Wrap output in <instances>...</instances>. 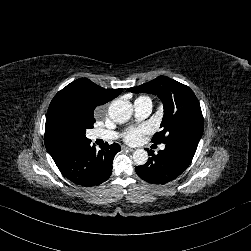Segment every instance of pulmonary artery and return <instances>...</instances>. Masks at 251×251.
<instances>
[{"label": "pulmonary artery", "mask_w": 251, "mask_h": 251, "mask_svg": "<svg viewBox=\"0 0 251 251\" xmlns=\"http://www.w3.org/2000/svg\"><path fill=\"white\" fill-rule=\"evenodd\" d=\"M153 109V103L152 100L148 97H140L134 101V111L135 115L138 118H145L147 117ZM98 137L100 138H108V136L99 134ZM160 147L161 149H164L167 147V142L166 141H161L160 142Z\"/></svg>", "instance_id": "obj_1"}]
</instances>
